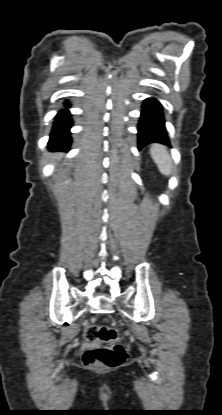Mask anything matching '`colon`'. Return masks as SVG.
<instances>
[{
    "mask_svg": "<svg viewBox=\"0 0 222 415\" xmlns=\"http://www.w3.org/2000/svg\"><path fill=\"white\" fill-rule=\"evenodd\" d=\"M121 334V329L113 321L103 325H89L84 330V340L88 344L100 340L104 343L114 342ZM127 358V351L121 344L94 346L85 350L82 361L85 366L98 369H110L121 366Z\"/></svg>",
    "mask_w": 222,
    "mask_h": 415,
    "instance_id": "1",
    "label": "colon"
}]
</instances>
